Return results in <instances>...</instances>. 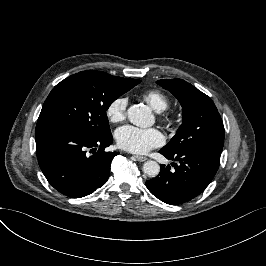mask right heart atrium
Listing matches in <instances>:
<instances>
[{
	"label": "right heart atrium",
	"instance_id": "right-heart-atrium-1",
	"mask_svg": "<svg viewBox=\"0 0 266 266\" xmlns=\"http://www.w3.org/2000/svg\"><path fill=\"white\" fill-rule=\"evenodd\" d=\"M129 99L125 95L113 98L105 109V114L110 123H119L126 118Z\"/></svg>",
	"mask_w": 266,
	"mask_h": 266
}]
</instances>
